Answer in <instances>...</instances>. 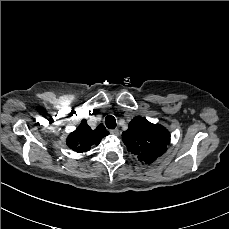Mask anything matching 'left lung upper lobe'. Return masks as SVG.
Segmentation results:
<instances>
[{
  "label": "left lung upper lobe",
  "instance_id": "5c2ea615",
  "mask_svg": "<svg viewBox=\"0 0 229 229\" xmlns=\"http://www.w3.org/2000/svg\"><path fill=\"white\" fill-rule=\"evenodd\" d=\"M127 150L140 161L151 164L163 155L170 142L169 131L160 124L150 123L140 116L135 117L122 133Z\"/></svg>",
  "mask_w": 229,
  "mask_h": 229
}]
</instances>
